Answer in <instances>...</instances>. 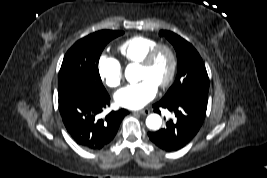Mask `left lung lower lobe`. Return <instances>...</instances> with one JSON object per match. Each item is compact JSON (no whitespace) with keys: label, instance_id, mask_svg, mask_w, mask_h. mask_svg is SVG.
Listing matches in <instances>:
<instances>
[{"label":"left lung lower lobe","instance_id":"0a47b994","mask_svg":"<svg viewBox=\"0 0 267 178\" xmlns=\"http://www.w3.org/2000/svg\"><path fill=\"white\" fill-rule=\"evenodd\" d=\"M154 111L159 108L168 109L174 113L175 119H170L159 131L149 132L150 140L165 151H177L186 146L198 133L205 119L207 101L198 97H185L179 100H160L153 105Z\"/></svg>","mask_w":267,"mask_h":178}]
</instances>
